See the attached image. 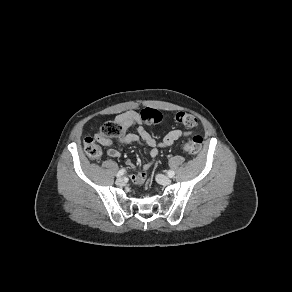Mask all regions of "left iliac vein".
<instances>
[{
  "label": "left iliac vein",
  "instance_id": "left-iliac-vein-1",
  "mask_svg": "<svg viewBox=\"0 0 292 292\" xmlns=\"http://www.w3.org/2000/svg\"><path fill=\"white\" fill-rule=\"evenodd\" d=\"M156 180L161 185H169V184H171V179L168 178L167 176L162 175V174H158L156 176Z\"/></svg>",
  "mask_w": 292,
  "mask_h": 292
}]
</instances>
